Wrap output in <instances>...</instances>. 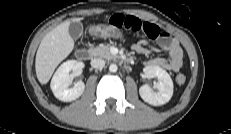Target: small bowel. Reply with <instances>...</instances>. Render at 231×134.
Here are the masks:
<instances>
[{
    "instance_id": "1",
    "label": "small bowel",
    "mask_w": 231,
    "mask_h": 134,
    "mask_svg": "<svg viewBox=\"0 0 231 134\" xmlns=\"http://www.w3.org/2000/svg\"><path fill=\"white\" fill-rule=\"evenodd\" d=\"M109 26L122 31L141 32L150 40H141L133 49L139 53L168 54L167 58L157 57L147 64L151 67L162 68L172 72H178L183 65V52L177 40L154 23L144 21L133 15L116 13L109 19Z\"/></svg>"
}]
</instances>
